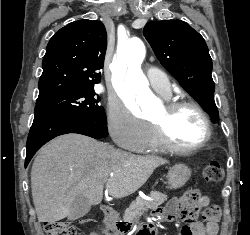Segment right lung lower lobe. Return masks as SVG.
Masks as SVG:
<instances>
[{
	"mask_svg": "<svg viewBox=\"0 0 250 235\" xmlns=\"http://www.w3.org/2000/svg\"><path fill=\"white\" fill-rule=\"evenodd\" d=\"M68 133H78L101 139L108 135V130L107 124L75 115L47 112L35 114L27 138L25 167L45 143Z\"/></svg>",
	"mask_w": 250,
	"mask_h": 235,
	"instance_id": "obj_1",
	"label": "right lung lower lobe"
}]
</instances>
